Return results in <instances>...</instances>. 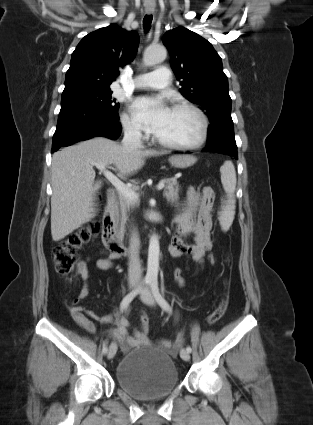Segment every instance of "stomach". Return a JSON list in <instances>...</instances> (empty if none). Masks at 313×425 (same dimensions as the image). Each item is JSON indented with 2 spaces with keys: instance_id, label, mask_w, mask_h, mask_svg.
I'll use <instances>...</instances> for the list:
<instances>
[{
  "instance_id": "1",
  "label": "stomach",
  "mask_w": 313,
  "mask_h": 425,
  "mask_svg": "<svg viewBox=\"0 0 313 425\" xmlns=\"http://www.w3.org/2000/svg\"><path fill=\"white\" fill-rule=\"evenodd\" d=\"M197 158L192 155H173L169 158L170 164L178 169H185L192 166Z\"/></svg>"
}]
</instances>
